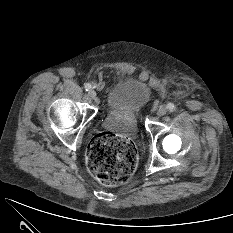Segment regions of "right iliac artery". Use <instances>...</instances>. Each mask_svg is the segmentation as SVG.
<instances>
[{
	"label": "right iliac artery",
	"mask_w": 233,
	"mask_h": 233,
	"mask_svg": "<svg viewBox=\"0 0 233 233\" xmlns=\"http://www.w3.org/2000/svg\"><path fill=\"white\" fill-rule=\"evenodd\" d=\"M92 88L91 84L87 83L85 84L86 91H89Z\"/></svg>",
	"instance_id": "obj_1"
}]
</instances>
